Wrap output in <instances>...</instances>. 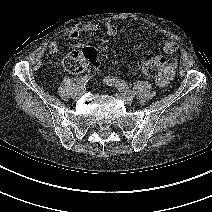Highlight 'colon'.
I'll list each match as a JSON object with an SVG mask.
<instances>
[{
	"label": "colon",
	"instance_id": "colon-1",
	"mask_svg": "<svg viewBox=\"0 0 212 212\" xmlns=\"http://www.w3.org/2000/svg\"><path fill=\"white\" fill-rule=\"evenodd\" d=\"M97 51L92 47H85L81 51H74L62 57L59 66L71 74H79L86 70H95L98 67ZM164 58H151L140 62L139 70L145 76L154 78L157 81L168 76L169 68L164 71Z\"/></svg>",
	"mask_w": 212,
	"mask_h": 212
}]
</instances>
